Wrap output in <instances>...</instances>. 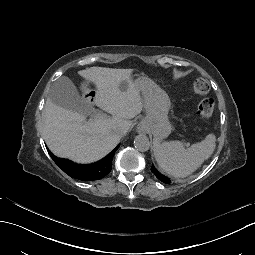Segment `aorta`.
I'll return each mask as SVG.
<instances>
[{
    "instance_id": "aorta-1",
    "label": "aorta",
    "mask_w": 255,
    "mask_h": 255,
    "mask_svg": "<svg viewBox=\"0 0 255 255\" xmlns=\"http://www.w3.org/2000/svg\"><path fill=\"white\" fill-rule=\"evenodd\" d=\"M134 147L140 152H146L150 148V141L146 135L140 134L134 139Z\"/></svg>"
}]
</instances>
